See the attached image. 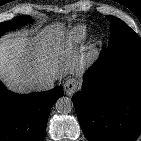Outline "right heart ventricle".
<instances>
[{
    "instance_id": "e07e8e85",
    "label": "right heart ventricle",
    "mask_w": 141,
    "mask_h": 141,
    "mask_svg": "<svg viewBox=\"0 0 141 141\" xmlns=\"http://www.w3.org/2000/svg\"><path fill=\"white\" fill-rule=\"evenodd\" d=\"M88 31L85 26L74 27L67 35L64 48L65 50H73L79 45L83 44L87 38Z\"/></svg>"
}]
</instances>
